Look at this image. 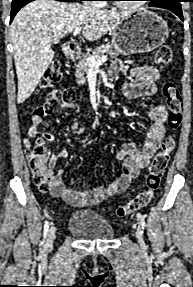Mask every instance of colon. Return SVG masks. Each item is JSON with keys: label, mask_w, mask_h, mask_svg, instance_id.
Wrapping results in <instances>:
<instances>
[{"label": "colon", "mask_w": 193, "mask_h": 287, "mask_svg": "<svg viewBox=\"0 0 193 287\" xmlns=\"http://www.w3.org/2000/svg\"><path fill=\"white\" fill-rule=\"evenodd\" d=\"M173 55L168 46L158 48L155 55V62L159 67L166 68L172 63ZM62 65L59 60H53L43 77V86L49 87L62 79ZM163 95L168 108L167 123L171 130L162 142L160 150L155 155L149 172L146 176V187L138 195L132 198L127 204L117 209V215L125 217L146 207L156 191L161 179L169 164L171 154L176 145L174 132L180 127L182 121V97L176 84L167 82L163 86ZM81 98L77 88H68L63 92L51 93L48 95L47 103L37 107L33 118H44L52 112L56 106L62 108L76 104ZM27 156L32 171L35 185L43 192L49 189L51 177V164L46 151L44 141L37 139L34 143L27 144Z\"/></svg>", "instance_id": "5ec220e1"}]
</instances>
